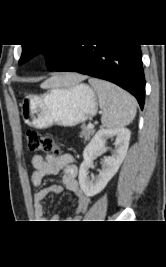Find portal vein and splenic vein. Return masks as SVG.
I'll list each match as a JSON object with an SVG mask.
<instances>
[{
    "mask_svg": "<svg viewBox=\"0 0 166 267\" xmlns=\"http://www.w3.org/2000/svg\"><path fill=\"white\" fill-rule=\"evenodd\" d=\"M87 127L88 128H94V125L92 123H89Z\"/></svg>",
    "mask_w": 166,
    "mask_h": 267,
    "instance_id": "portal-vein-and-splenic-vein-1",
    "label": "portal vein and splenic vein"
}]
</instances>
